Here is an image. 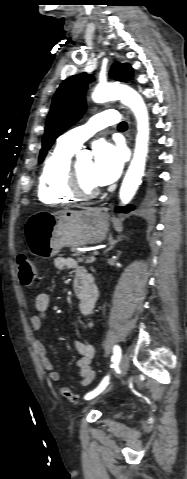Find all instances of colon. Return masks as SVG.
<instances>
[{
	"label": "colon",
	"instance_id": "5ec220e1",
	"mask_svg": "<svg viewBox=\"0 0 187 479\" xmlns=\"http://www.w3.org/2000/svg\"><path fill=\"white\" fill-rule=\"evenodd\" d=\"M16 265L18 269L19 281L22 286L29 287L32 285L35 276L36 270L31 259L24 254H20L16 258ZM60 394L69 401H77V395L66 386L59 388Z\"/></svg>",
	"mask_w": 187,
	"mask_h": 479
}]
</instances>
